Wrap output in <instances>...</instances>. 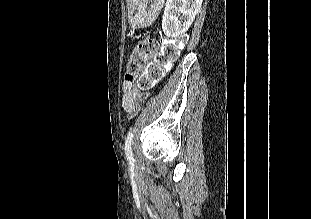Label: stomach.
Segmentation results:
<instances>
[{"label": "stomach", "instance_id": "1", "mask_svg": "<svg viewBox=\"0 0 311 219\" xmlns=\"http://www.w3.org/2000/svg\"><path fill=\"white\" fill-rule=\"evenodd\" d=\"M163 0H139L137 11L131 22L135 27L150 26L158 16Z\"/></svg>", "mask_w": 311, "mask_h": 219}]
</instances>
